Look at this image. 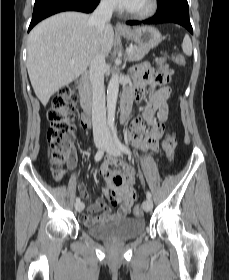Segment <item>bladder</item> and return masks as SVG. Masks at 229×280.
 <instances>
[{
    "instance_id": "bladder-1",
    "label": "bladder",
    "mask_w": 229,
    "mask_h": 280,
    "mask_svg": "<svg viewBox=\"0 0 229 280\" xmlns=\"http://www.w3.org/2000/svg\"><path fill=\"white\" fill-rule=\"evenodd\" d=\"M146 227L145 219L134 217H122L114 221L85 225L90 235L101 239H133L142 235Z\"/></svg>"
}]
</instances>
